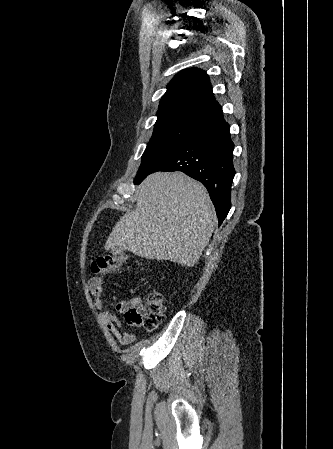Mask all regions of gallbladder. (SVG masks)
Here are the masks:
<instances>
[{"instance_id":"gallbladder-1","label":"gallbladder","mask_w":333,"mask_h":449,"mask_svg":"<svg viewBox=\"0 0 333 449\" xmlns=\"http://www.w3.org/2000/svg\"><path fill=\"white\" fill-rule=\"evenodd\" d=\"M112 252L113 253H119V250L118 249H114Z\"/></svg>"}]
</instances>
